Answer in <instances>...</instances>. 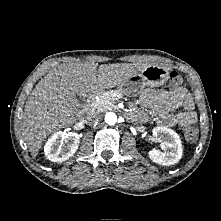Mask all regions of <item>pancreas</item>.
Returning <instances> with one entry per match:
<instances>
[{
    "instance_id": "pancreas-1",
    "label": "pancreas",
    "mask_w": 221,
    "mask_h": 221,
    "mask_svg": "<svg viewBox=\"0 0 221 221\" xmlns=\"http://www.w3.org/2000/svg\"><path fill=\"white\" fill-rule=\"evenodd\" d=\"M123 91L119 90H111L104 92L99 95V99L95 100L91 105L89 111L91 113H99L107 110H112L116 106L114 105L119 98H122ZM96 110V112H94Z\"/></svg>"
}]
</instances>
